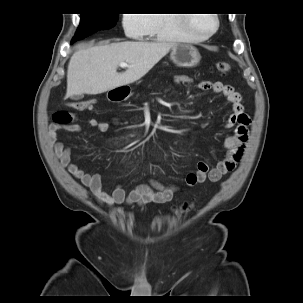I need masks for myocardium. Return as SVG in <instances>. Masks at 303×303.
<instances>
[{"label":"myocardium","instance_id":"obj_1","mask_svg":"<svg viewBox=\"0 0 303 303\" xmlns=\"http://www.w3.org/2000/svg\"><path fill=\"white\" fill-rule=\"evenodd\" d=\"M182 15H183V19H184V25H185L187 31L190 34V39H192V40H206V39H209L217 32V30L219 28V24H220L219 16L217 14H210L214 19V28L206 34L195 33L191 28V24H192V21H193V15L192 14L191 15L190 14H182Z\"/></svg>","mask_w":303,"mask_h":303}]
</instances>
